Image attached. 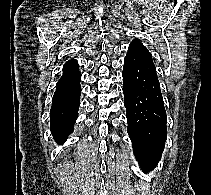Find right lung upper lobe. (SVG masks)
<instances>
[{
    "label": "right lung upper lobe",
    "mask_w": 211,
    "mask_h": 195,
    "mask_svg": "<svg viewBox=\"0 0 211 195\" xmlns=\"http://www.w3.org/2000/svg\"><path fill=\"white\" fill-rule=\"evenodd\" d=\"M76 67H78L77 61L74 59H71L65 63V65L63 67V71L73 69Z\"/></svg>",
    "instance_id": "obj_1"
}]
</instances>
